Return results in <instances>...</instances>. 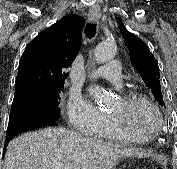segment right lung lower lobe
<instances>
[{"label":"right lung lower lobe","instance_id":"right-lung-lower-lobe-1","mask_svg":"<svg viewBox=\"0 0 177 169\" xmlns=\"http://www.w3.org/2000/svg\"><path fill=\"white\" fill-rule=\"evenodd\" d=\"M58 117L44 112H10L4 148L17 134L44 126L57 125Z\"/></svg>","mask_w":177,"mask_h":169}]
</instances>
